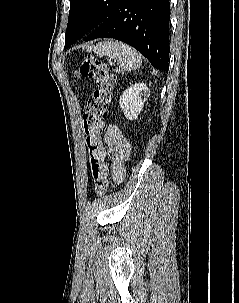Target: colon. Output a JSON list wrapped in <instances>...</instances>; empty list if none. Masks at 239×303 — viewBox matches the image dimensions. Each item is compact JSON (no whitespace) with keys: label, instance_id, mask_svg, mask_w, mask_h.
<instances>
[{"label":"colon","instance_id":"colon-1","mask_svg":"<svg viewBox=\"0 0 239 303\" xmlns=\"http://www.w3.org/2000/svg\"><path fill=\"white\" fill-rule=\"evenodd\" d=\"M76 74L92 79L95 84L93 96L88 101L84 114L83 130L93 188L98 196H102L108 188L109 176V167L105 162L106 149L102 139L106 128L104 115L112 101L116 76L108 64L94 57L85 58Z\"/></svg>","mask_w":239,"mask_h":303}]
</instances>
